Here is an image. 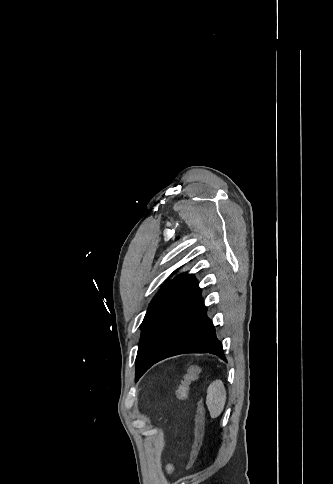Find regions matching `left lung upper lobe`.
<instances>
[{"mask_svg": "<svg viewBox=\"0 0 333 484\" xmlns=\"http://www.w3.org/2000/svg\"><path fill=\"white\" fill-rule=\"evenodd\" d=\"M176 271H177V270H176ZM176 271H174L172 274H174ZM168 285H169V284H166V285H165V286H164V287H163V288H162V289H161V290H160V291H159V292L156 294V296L153 298V300L151 301L150 306H149V308H148V310H147V313H146V315H145V318H146V316L148 315V313L150 312V310H151L152 306L154 305V303L157 301V299L159 298V296L162 294V292H163V291L166 289V287H167ZM145 318H144V320H145ZM144 320H143V322H144ZM142 324H143V323H142ZM138 374H139V369H138V368H136V376H137Z\"/></svg>", "mask_w": 333, "mask_h": 484, "instance_id": "5c2ea615", "label": "left lung upper lobe"}]
</instances>
